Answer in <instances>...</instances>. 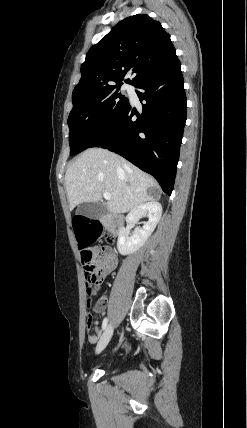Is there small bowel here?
Instances as JSON below:
<instances>
[{
    "label": "small bowel",
    "instance_id": "obj_1",
    "mask_svg": "<svg viewBox=\"0 0 247 428\" xmlns=\"http://www.w3.org/2000/svg\"><path fill=\"white\" fill-rule=\"evenodd\" d=\"M101 255L105 258L106 260V265L102 271V275H101V279L95 284V286L93 288H90V290L88 291L87 289V293L89 295H92L96 292V290L98 289L99 284L112 272L116 269L117 264H118V259L117 256L115 254V252L110 249V248H102L101 250ZM104 307V301H100V303L97 306V311H101L102 308ZM98 340V335L96 334H91L88 336V341L90 343H95Z\"/></svg>",
    "mask_w": 247,
    "mask_h": 428
}]
</instances>
